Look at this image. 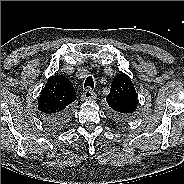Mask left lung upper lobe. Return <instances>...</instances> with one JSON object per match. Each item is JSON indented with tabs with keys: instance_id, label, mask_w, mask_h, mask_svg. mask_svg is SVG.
Listing matches in <instances>:
<instances>
[{
	"instance_id": "5c2ea615",
	"label": "left lung upper lobe",
	"mask_w": 184,
	"mask_h": 184,
	"mask_svg": "<svg viewBox=\"0 0 184 184\" xmlns=\"http://www.w3.org/2000/svg\"><path fill=\"white\" fill-rule=\"evenodd\" d=\"M110 93L106 101L114 114L125 120L134 119L137 109L138 99L134 85L126 74H119L111 83Z\"/></svg>"
}]
</instances>
